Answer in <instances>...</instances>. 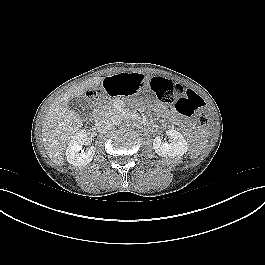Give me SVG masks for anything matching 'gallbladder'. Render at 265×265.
<instances>
[{
    "instance_id": "gallbladder-1",
    "label": "gallbladder",
    "mask_w": 265,
    "mask_h": 265,
    "mask_svg": "<svg viewBox=\"0 0 265 265\" xmlns=\"http://www.w3.org/2000/svg\"><path fill=\"white\" fill-rule=\"evenodd\" d=\"M69 108L76 112L82 120H87L90 117V105L87 99L85 98H72L68 103Z\"/></svg>"
}]
</instances>
